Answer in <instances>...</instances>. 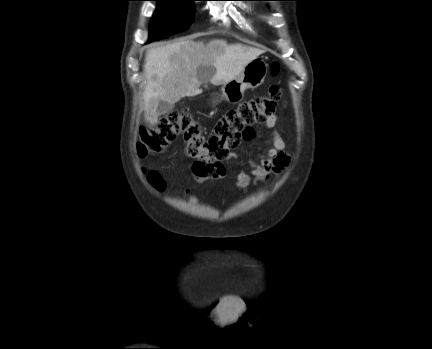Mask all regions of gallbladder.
<instances>
[{
	"label": "gallbladder",
	"mask_w": 432,
	"mask_h": 349,
	"mask_svg": "<svg viewBox=\"0 0 432 349\" xmlns=\"http://www.w3.org/2000/svg\"><path fill=\"white\" fill-rule=\"evenodd\" d=\"M174 107V104L169 103L167 101L164 100H160L157 106V114L158 115H164L166 113H169L170 111H172Z\"/></svg>",
	"instance_id": "bac80fb5"
}]
</instances>
